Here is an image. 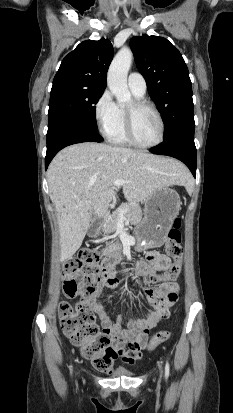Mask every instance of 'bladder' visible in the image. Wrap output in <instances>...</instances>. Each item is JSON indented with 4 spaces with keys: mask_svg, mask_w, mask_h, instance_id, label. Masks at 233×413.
<instances>
[{
    "mask_svg": "<svg viewBox=\"0 0 233 413\" xmlns=\"http://www.w3.org/2000/svg\"><path fill=\"white\" fill-rule=\"evenodd\" d=\"M134 373L128 370H117L112 374V377H131Z\"/></svg>",
    "mask_w": 233,
    "mask_h": 413,
    "instance_id": "1",
    "label": "bladder"
}]
</instances>
